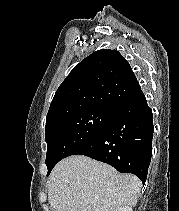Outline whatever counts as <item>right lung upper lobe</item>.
Here are the masks:
<instances>
[{
	"instance_id": "right-lung-upper-lobe-1",
	"label": "right lung upper lobe",
	"mask_w": 179,
	"mask_h": 211,
	"mask_svg": "<svg viewBox=\"0 0 179 211\" xmlns=\"http://www.w3.org/2000/svg\"><path fill=\"white\" fill-rule=\"evenodd\" d=\"M140 89L129 63L117 50H98L75 66L59 86L46 125L89 108L115 110Z\"/></svg>"
}]
</instances>
